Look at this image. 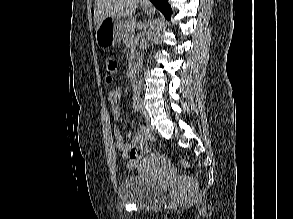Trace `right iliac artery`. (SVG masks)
<instances>
[{"label":"right iliac artery","mask_w":293,"mask_h":219,"mask_svg":"<svg viewBox=\"0 0 293 219\" xmlns=\"http://www.w3.org/2000/svg\"><path fill=\"white\" fill-rule=\"evenodd\" d=\"M133 108L136 112L141 109V101L139 92H135L133 96Z\"/></svg>","instance_id":"1"}]
</instances>
